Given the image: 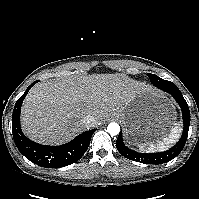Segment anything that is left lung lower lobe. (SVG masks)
Wrapping results in <instances>:
<instances>
[{"label": "left lung lower lobe", "instance_id": "1", "mask_svg": "<svg viewBox=\"0 0 199 199\" xmlns=\"http://www.w3.org/2000/svg\"><path fill=\"white\" fill-rule=\"evenodd\" d=\"M158 88L171 94L174 97V99L177 101L179 106L181 107L182 114H183V123H184L183 134L179 142H177V144L171 149L164 152H160V153L144 154V153L135 152L129 149L128 147H126L122 140V133L120 132L116 141V147L122 156L130 160L145 163V164H162L175 158L184 148V145L188 136L189 125H190L189 107L185 99L183 98L180 90L175 86L174 83L166 84V85H159Z\"/></svg>", "mask_w": 199, "mask_h": 199}]
</instances>
